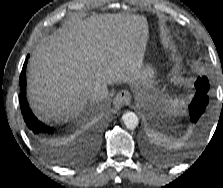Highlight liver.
Returning <instances> with one entry per match:
<instances>
[{
    "label": "liver",
    "instance_id": "6515ba94",
    "mask_svg": "<svg viewBox=\"0 0 223 188\" xmlns=\"http://www.w3.org/2000/svg\"><path fill=\"white\" fill-rule=\"evenodd\" d=\"M144 16L100 14L69 22L33 51L28 93L43 119L63 121L87 104L86 91L96 81L139 84L144 78L139 41Z\"/></svg>",
    "mask_w": 223,
    "mask_h": 188
}]
</instances>
